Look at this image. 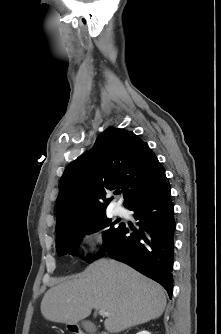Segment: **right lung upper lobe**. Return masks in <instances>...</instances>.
Listing matches in <instances>:
<instances>
[{
    "label": "right lung upper lobe",
    "instance_id": "1",
    "mask_svg": "<svg viewBox=\"0 0 221 334\" xmlns=\"http://www.w3.org/2000/svg\"><path fill=\"white\" fill-rule=\"evenodd\" d=\"M165 175L157 157L132 131L109 127L92 149L65 169L57 198L56 233L105 214L106 190L120 187L124 206ZM101 201H105V204ZM56 236V237H57Z\"/></svg>",
    "mask_w": 221,
    "mask_h": 334
}]
</instances>
